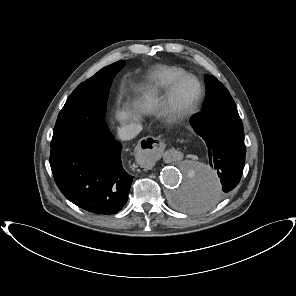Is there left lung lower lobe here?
Segmentation results:
<instances>
[{"label": "left lung lower lobe", "mask_w": 296, "mask_h": 296, "mask_svg": "<svg viewBox=\"0 0 296 296\" xmlns=\"http://www.w3.org/2000/svg\"><path fill=\"white\" fill-rule=\"evenodd\" d=\"M190 122L205 143L210 166L217 171L221 186L209 192L189 181L180 192L179 205L186 210L203 211L223 199L240 182L246 155L244 130L229 94L204 101L201 112L193 115Z\"/></svg>", "instance_id": "left-lung-lower-lobe-1"}]
</instances>
